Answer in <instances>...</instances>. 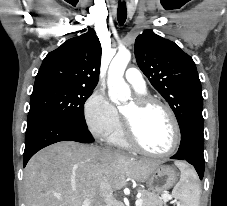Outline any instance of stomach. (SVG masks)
Masks as SVG:
<instances>
[{
    "instance_id": "0dacf381",
    "label": "stomach",
    "mask_w": 227,
    "mask_h": 206,
    "mask_svg": "<svg viewBox=\"0 0 227 206\" xmlns=\"http://www.w3.org/2000/svg\"><path fill=\"white\" fill-rule=\"evenodd\" d=\"M177 182L176 170L167 165H159L148 177L149 187L156 193L171 189Z\"/></svg>"
}]
</instances>
